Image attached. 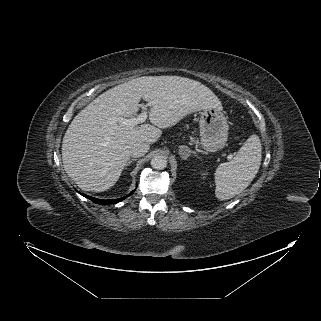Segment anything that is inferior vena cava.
I'll return each mask as SVG.
<instances>
[{
	"instance_id": "602c4592",
	"label": "inferior vena cava",
	"mask_w": 321,
	"mask_h": 321,
	"mask_svg": "<svg viewBox=\"0 0 321 321\" xmlns=\"http://www.w3.org/2000/svg\"><path fill=\"white\" fill-rule=\"evenodd\" d=\"M149 150V144L145 142H137L130 146V155L138 158L145 155Z\"/></svg>"
}]
</instances>
